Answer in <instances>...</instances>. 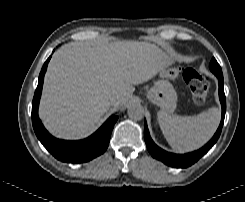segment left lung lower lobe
Masks as SVG:
<instances>
[{
    "label": "left lung lower lobe",
    "mask_w": 245,
    "mask_h": 202,
    "mask_svg": "<svg viewBox=\"0 0 245 202\" xmlns=\"http://www.w3.org/2000/svg\"><path fill=\"white\" fill-rule=\"evenodd\" d=\"M216 77L218 78V81H219V99H220L221 106H222V119H221L219 128L217 129L212 139L201 149L191 152V153H187V154L169 153L159 148L152 141L149 131H148L147 123L145 121L144 139H145L148 151L153 156V158H156L171 167L186 168V167L191 166L195 162H197L217 142L221 134L222 126L224 123V117H225V112H226V99H225V94H224L223 75L222 76L216 75Z\"/></svg>",
    "instance_id": "1"
}]
</instances>
